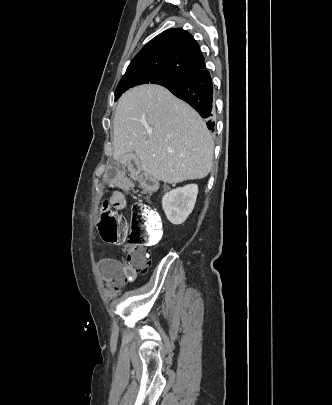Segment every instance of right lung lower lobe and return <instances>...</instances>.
Masks as SVG:
<instances>
[{
    "label": "right lung lower lobe",
    "mask_w": 332,
    "mask_h": 405,
    "mask_svg": "<svg viewBox=\"0 0 332 405\" xmlns=\"http://www.w3.org/2000/svg\"><path fill=\"white\" fill-rule=\"evenodd\" d=\"M166 88L176 97L190 104L201 117L212 116L214 111L213 83L208 70L198 71ZM214 125L215 123L211 120L207 122L209 129L214 130Z\"/></svg>",
    "instance_id": "right-lung-lower-lobe-1"
}]
</instances>
